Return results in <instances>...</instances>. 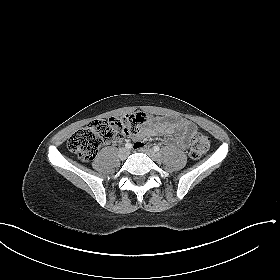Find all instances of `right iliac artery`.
Returning a JSON list of instances; mask_svg holds the SVG:
<instances>
[{
    "instance_id": "obj_1",
    "label": "right iliac artery",
    "mask_w": 280,
    "mask_h": 280,
    "mask_svg": "<svg viewBox=\"0 0 280 280\" xmlns=\"http://www.w3.org/2000/svg\"><path fill=\"white\" fill-rule=\"evenodd\" d=\"M125 147H126L127 149H131V148H132V144H131V143H126V144H125Z\"/></svg>"
}]
</instances>
